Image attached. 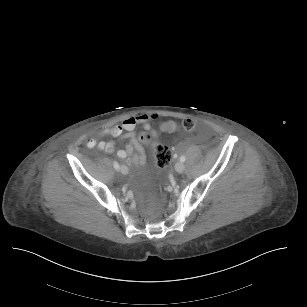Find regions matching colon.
Masks as SVG:
<instances>
[{
  "label": "colon",
  "instance_id": "5ec220e1",
  "mask_svg": "<svg viewBox=\"0 0 307 307\" xmlns=\"http://www.w3.org/2000/svg\"><path fill=\"white\" fill-rule=\"evenodd\" d=\"M181 125L186 132H192L196 129V122L193 119H184ZM156 128L161 133L174 134L178 130V123L174 119H162L157 123ZM139 139L144 142H149L151 135L148 131L141 132ZM155 157L158 168L164 170L170 163L172 152L168 146L158 143L155 147Z\"/></svg>",
  "mask_w": 307,
  "mask_h": 307
}]
</instances>
